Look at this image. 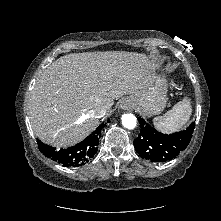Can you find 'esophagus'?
<instances>
[{"instance_id":"obj_1","label":"esophagus","mask_w":221,"mask_h":221,"mask_svg":"<svg viewBox=\"0 0 221 221\" xmlns=\"http://www.w3.org/2000/svg\"><path fill=\"white\" fill-rule=\"evenodd\" d=\"M135 106V102L132 98H125L120 103V108L123 110H131Z\"/></svg>"}]
</instances>
